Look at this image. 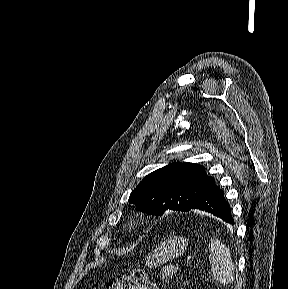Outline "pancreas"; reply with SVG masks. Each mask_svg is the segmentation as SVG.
Wrapping results in <instances>:
<instances>
[{"instance_id":"pancreas-1","label":"pancreas","mask_w":288,"mask_h":289,"mask_svg":"<svg viewBox=\"0 0 288 289\" xmlns=\"http://www.w3.org/2000/svg\"><path fill=\"white\" fill-rule=\"evenodd\" d=\"M171 272H172L171 269H169V268H164V269L162 270V272H161L162 280L168 281Z\"/></svg>"}]
</instances>
